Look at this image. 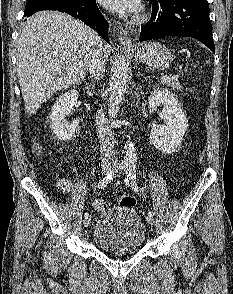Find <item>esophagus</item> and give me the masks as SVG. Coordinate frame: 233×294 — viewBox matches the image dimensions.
<instances>
[{
	"label": "esophagus",
	"instance_id": "esophagus-1",
	"mask_svg": "<svg viewBox=\"0 0 233 294\" xmlns=\"http://www.w3.org/2000/svg\"><path fill=\"white\" fill-rule=\"evenodd\" d=\"M118 32H119V34H118L119 41L123 44L128 45V46H132V40H131V37H130L128 31L126 29L120 27Z\"/></svg>",
	"mask_w": 233,
	"mask_h": 294
}]
</instances>
